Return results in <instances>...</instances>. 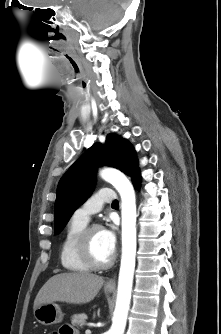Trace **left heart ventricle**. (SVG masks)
Wrapping results in <instances>:
<instances>
[{
  "label": "left heart ventricle",
  "mask_w": 221,
  "mask_h": 334,
  "mask_svg": "<svg viewBox=\"0 0 221 334\" xmlns=\"http://www.w3.org/2000/svg\"><path fill=\"white\" fill-rule=\"evenodd\" d=\"M91 245L97 260L102 262L109 260L113 251L106 245L102 229H97L93 232Z\"/></svg>",
  "instance_id": "b2bd125f"
}]
</instances>
